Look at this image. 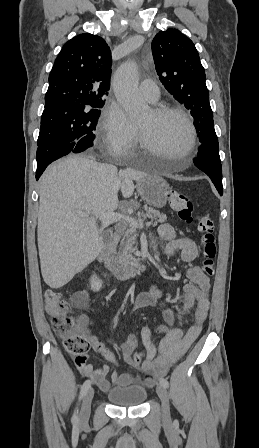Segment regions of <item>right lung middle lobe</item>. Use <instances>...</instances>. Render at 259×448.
<instances>
[{"instance_id": "right-lung-middle-lobe-1", "label": "right lung middle lobe", "mask_w": 259, "mask_h": 448, "mask_svg": "<svg viewBox=\"0 0 259 448\" xmlns=\"http://www.w3.org/2000/svg\"><path fill=\"white\" fill-rule=\"evenodd\" d=\"M103 105L69 113L42 114L37 145L75 142V153L90 149Z\"/></svg>"}]
</instances>
